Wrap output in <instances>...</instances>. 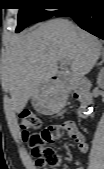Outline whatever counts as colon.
<instances>
[{
  "label": "colon",
  "instance_id": "1",
  "mask_svg": "<svg viewBox=\"0 0 104 169\" xmlns=\"http://www.w3.org/2000/svg\"><path fill=\"white\" fill-rule=\"evenodd\" d=\"M19 125L25 142L32 150L37 169H56L59 165V155L47 144L64 135L63 125H50L42 132H38L41 119L32 111H26L20 115Z\"/></svg>",
  "mask_w": 104,
  "mask_h": 169
}]
</instances>
